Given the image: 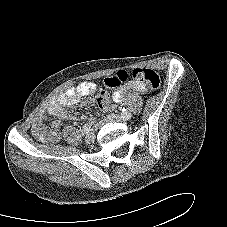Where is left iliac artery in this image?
<instances>
[{
    "mask_svg": "<svg viewBox=\"0 0 227 227\" xmlns=\"http://www.w3.org/2000/svg\"><path fill=\"white\" fill-rule=\"evenodd\" d=\"M122 113H123V115H126V114H128L129 112H128L125 108H123V109H122Z\"/></svg>",
    "mask_w": 227,
    "mask_h": 227,
    "instance_id": "1",
    "label": "left iliac artery"
}]
</instances>
